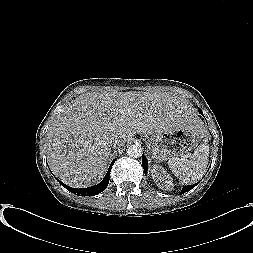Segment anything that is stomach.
<instances>
[{"label": "stomach", "mask_w": 253, "mask_h": 253, "mask_svg": "<svg viewBox=\"0 0 253 253\" xmlns=\"http://www.w3.org/2000/svg\"><path fill=\"white\" fill-rule=\"evenodd\" d=\"M203 133L188 124H179L163 133L147 136L150 153L157 161L185 156L198 145Z\"/></svg>", "instance_id": "obj_1"}]
</instances>
